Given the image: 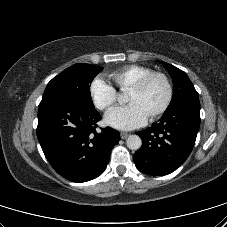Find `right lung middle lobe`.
Wrapping results in <instances>:
<instances>
[{
  "mask_svg": "<svg viewBox=\"0 0 227 227\" xmlns=\"http://www.w3.org/2000/svg\"><path fill=\"white\" fill-rule=\"evenodd\" d=\"M102 69L86 63L72 65L48 83L42 101L68 97L83 106L94 108L89 90L90 84Z\"/></svg>",
  "mask_w": 227,
  "mask_h": 227,
  "instance_id": "right-lung-middle-lobe-1",
  "label": "right lung middle lobe"
}]
</instances>
